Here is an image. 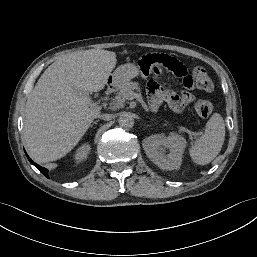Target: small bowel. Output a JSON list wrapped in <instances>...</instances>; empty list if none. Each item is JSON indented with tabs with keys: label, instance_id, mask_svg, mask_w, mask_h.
Masks as SVG:
<instances>
[{
	"label": "small bowel",
	"instance_id": "1",
	"mask_svg": "<svg viewBox=\"0 0 257 257\" xmlns=\"http://www.w3.org/2000/svg\"><path fill=\"white\" fill-rule=\"evenodd\" d=\"M133 68L141 76H153L145 84L149 90V108L152 112L165 102L179 113L193 102L194 97L190 92L196 87L195 79L175 56L160 52L147 53L135 59ZM175 79L182 80L184 91L181 93Z\"/></svg>",
	"mask_w": 257,
	"mask_h": 257
}]
</instances>
